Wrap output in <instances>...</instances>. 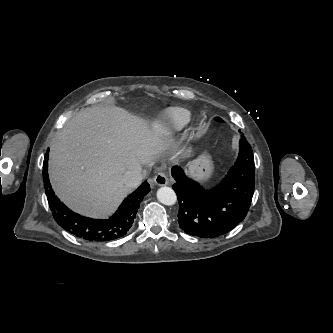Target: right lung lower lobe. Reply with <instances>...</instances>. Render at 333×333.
I'll return each mask as SVG.
<instances>
[{
  "mask_svg": "<svg viewBox=\"0 0 333 333\" xmlns=\"http://www.w3.org/2000/svg\"><path fill=\"white\" fill-rule=\"evenodd\" d=\"M48 153L45 155L43 180L49 207L56 222L71 234L89 241L106 242L123 237L134 222L143 197L150 191L147 182L131 193L120 205L113 216L105 220H96L81 216L69 210L58 198L49 183Z\"/></svg>",
  "mask_w": 333,
  "mask_h": 333,
  "instance_id": "obj_1",
  "label": "right lung lower lobe"
}]
</instances>
